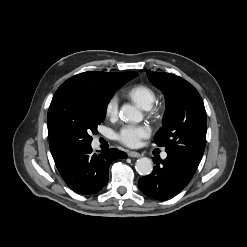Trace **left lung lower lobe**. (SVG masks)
<instances>
[{"label": "left lung lower lobe", "mask_w": 247, "mask_h": 247, "mask_svg": "<svg viewBox=\"0 0 247 247\" xmlns=\"http://www.w3.org/2000/svg\"><path fill=\"white\" fill-rule=\"evenodd\" d=\"M200 161L172 153H167L163 161L156 158L153 172L139 179V189L151 198L167 200L190 182Z\"/></svg>", "instance_id": "1"}]
</instances>
